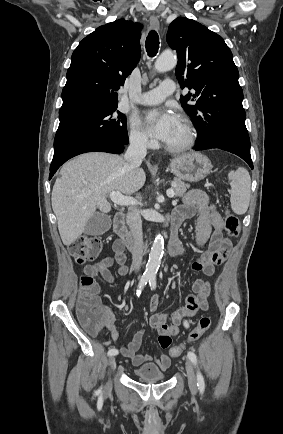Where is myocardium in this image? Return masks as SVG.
Returning <instances> with one entry per match:
<instances>
[{
  "instance_id": "1",
  "label": "myocardium",
  "mask_w": 283,
  "mask_h": 434,
  "mask_svg": "<svg viewBox=\"0 0 283 434\" xmlns=\"http://www.w3.org/2000/svg\"><path fill=\"white\" fill-rule=\"evenodd\" d=\"M179 119L184 125L185 138L180 144L173 145L165 143L166 150L172 153H181L187 151L194 145L196 141V130L191 120L185 115H180Z\"/></svg>"
}]
</instances>
